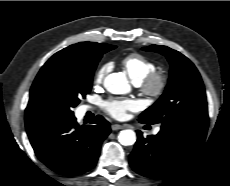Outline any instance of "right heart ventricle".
<instances>
[{
    "instance_id": "e07e8e85",
    "label": "right heart ventricle",
    "mask_w": 230,
    "mask_h": 186,
    "mask_svg": "<svg viewBox=\"0 0 230 186\" xmlns=\"http://www.w3.org/2000/svg\"><path fill=\"white\" fill-rule=\"evenodd\" d=\"M121 64L135 84H140L148 74L155 70L152 60L136 52L124 56Z\"/></svg>"
}]
</instances>
